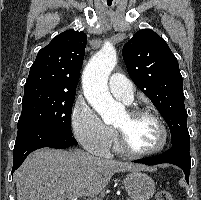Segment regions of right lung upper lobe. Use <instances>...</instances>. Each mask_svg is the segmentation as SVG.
<instances>
[{"label": "right lung upper lobe", "instance_id": "obj_1", "mask_svg": "<svg viewBox=\"0 0 201 200\" xmlns=\"http://www.w3.org/2000/svg\"><path fill=\"white\" fill-rule=\"evenodd\" d=\"M86 42L85 33L72 29L54 37L38 52L24 93L54 91L75 95Z\"/></svg>", "mask_w": 201, "mask_h": 200}]
</instances>
